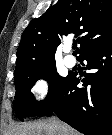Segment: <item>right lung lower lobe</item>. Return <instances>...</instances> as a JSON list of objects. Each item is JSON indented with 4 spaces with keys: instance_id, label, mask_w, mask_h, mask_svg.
<instances>
[{
    "instance_id": "obj_1",
    "label": "right lung lower lobe",
    "mask_w": 112,
    "mask_h": 135,
    "mask_svg": "<svg viewBox=\"0 0 112 135\" xmlns=\"http://www.w3.org/2000/svg\"><path fill=\"white\" fill-rule=\"evenodd\" d=\"M80 57L87 60L91 71L84 74V88H78L80 79L70 74L58 95L37 116L55 113L85 135H112V41Z\"/></svg>"
}]
</instances>
